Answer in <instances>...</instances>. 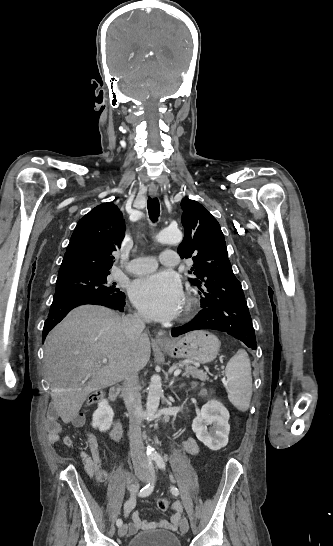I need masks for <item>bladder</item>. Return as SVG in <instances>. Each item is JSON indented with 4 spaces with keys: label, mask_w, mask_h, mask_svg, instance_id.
<instances>
[{
    "label": "bladder",
    "mask_w": 333,
    "mask_h": 546,
    "mask_svg": "<svg viewBox=\"0 0 333 546\" xmlns=\"http://www.w3.org/2000/svg\"><path fill=\"white\" fill-rule=\"evenodd\" d=\"M127 546H181L177 536L165 530H150L134 535Z\"/></svg>",
    "instance_id": "1"
}]
</instances>
